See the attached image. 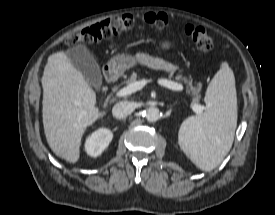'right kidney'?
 Returning <instances> with one entry per match:
<instances>
[{
	"label": "right kidney",
	"mask_w": 275,
	"mask_h": 215,
	"mask_svg": "<svg viewBox=\"0 0 275 215\" xmlns=\"http://www.w3.org/2000/svg\"><path fill=\"white\" fill-rule=\"evenodd\" d=\"M113 138L112 132L107 128H100L93 132L85 142V151L92 157H97L108 147Z\"/></svg>",
	"instance_id": "1"
}]
</instances>
